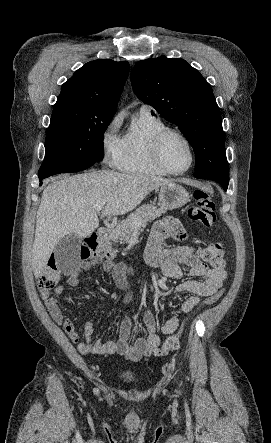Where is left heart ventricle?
Wrapping results in <instances>:
<instances>
[{
    "mask_svg": "<svg viewBox=\"0 0 271 443\" xmlns=\"http://www.w3.org/2000/svg\"><path fill=\"white\" fill-rule=\"evenodd\" d=\"M162 155L166 164L174 170L188 167L191 153L186 142L178 135H169L163 143Z\"/></svg>",
    "mask_w": 271,
    "mask_h": 443,
    "instance_id": "left-heart-ventricle-1",
    "label": "left heart ventricle"
}]
</instances>
